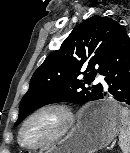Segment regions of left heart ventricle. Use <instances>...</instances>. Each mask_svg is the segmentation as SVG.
<instances>
[{"instance_id": "1", "label": "left heart ventricle", "mask_w": 130, "mask_h": 153, "mask_svg": "<svg viewBox=\"0 0 130 153\" xmlns=\"http://www.w3.org/2000/svg\"><path fill=\"white\" fill-rule=\"evenodd\" d=\"M62 119L55 112H46L35 117L26 126L22 140L26 144L35 145L46 141L61 127Z\"/></svg>"}]
</instances>
